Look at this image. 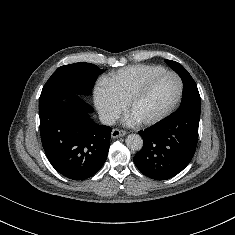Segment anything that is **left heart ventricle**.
Returning <instances> with one entry per match:
<instances>
[{
    "label": "left heart ventricle",
    "mask_w": 235,
    "mask_h": 235,
    "mask_svg": "<svg viewBox=\"0 0 235 235\" xmlns=\"http://www.w3.org/2000/svg\"><path fill=\"white\" fill-rule=\"evenodd\" d=\"M179 85L172 76H163L155 80L145 96L133 107L131 118L136 121L154 118L174 102Z\"/></svg>",
    "instance_id": "1"
}]
</instances>
